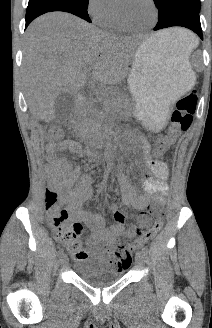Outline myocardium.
I'll use <instances>...</instances> for the list:
<instances>
[{
    "label": "myocardium",
    "instance_id": "myocardium-1",
    "mask_svg": "<svg viewBox=\"0 0 212 328\" xmlns=\"http://www.w3.org/2000/svg\"><path fill=\"white\" fill-rule=\"evenodd\" d=\"M147 1L153 9L154 16H153L152 22L149 25L143 26V27H134V26L129 25L125 21L123 15L121 13L120 7H118L116 17H117L118 22L120 23V25L122 26V28L124 30L130 31V32H144V31L151 29L156 24V22L158 20V16H159V10H158L157 4H156L155 0H147Z\"/></svg>",
    "mask_w": 212,
    "mask_h": 328
}]
</instances>
